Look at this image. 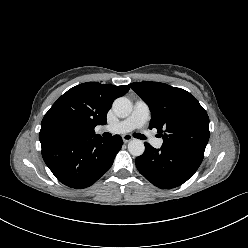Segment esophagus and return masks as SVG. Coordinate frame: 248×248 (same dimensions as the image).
<instances>
[{"label":"esophagus","mask_w":248,"mask_h":248,"mask_svg":"<svg viewBox=\"0 0 248 248\" xmlns=\"http://www.w3.org/2000/svg\"><path fill=\"white\" fill-rule=\"evenodd\" d=\"M122 139H123L124 143H128L133 139V137L129 134H125L122 136Z\"/></svg>","instance_id":"34e87169"}]
</instances>
